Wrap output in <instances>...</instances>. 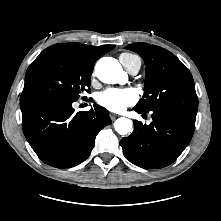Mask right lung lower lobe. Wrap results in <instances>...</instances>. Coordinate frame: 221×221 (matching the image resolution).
<instances>
[{"instance_id": "1", "label": "right lung lower lobe", "mask_w": 221, "mask_h": 221, "mask_svg": "<svg viewBox=\"0 0 221 221\" xmlns=\"http://www.w3.org/2000/svg\"><path fill=\"white\" fill-rule=\"evenodd\" d=\"M72 103L51 96L20 100L27 141L44 163L56 168L73 167L86 160L96 135L111 123L106 109L94 105L75 114Z\"/></svg>"}]
</instances>
